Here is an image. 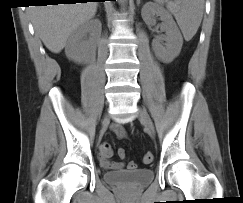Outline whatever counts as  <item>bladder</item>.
<instances>
[{
  "instance_id": "31cf9c89",
  "label": "bladder",
  "mask_w": 243,
  "mask_h": 203,
  "mask_svg": "<svg viewBox=\"0 0 243 203\" xmlns=\"http://www.w3.org/2000/svg\"><path fill=\"white\" fill-rule=\"evenodd\" d=\"M103 179L107 184L138 188L153 181L154 171L150 168L107 171L103 174Z\"/></svg>"
}]
</instances>
